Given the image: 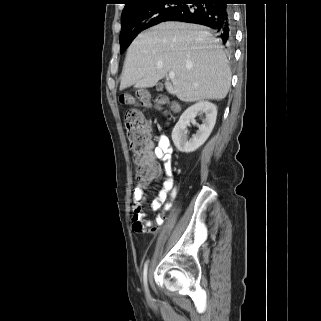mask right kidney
I'll return each instance as SVG.
<instances>
[{"instance_id": "1", "label": "right kidney", "mask_w": 321, "mask_h": 321, "mask_svg": "<svg viewBox=\"0 0 321 321\" xmlns=\"http://www.w3.org/2000/svg\"><path fill=\"white\" fill-rule=\"evenodd\" d=\"M198 113H204L205 119L198 126L199 129L196 134L191 139H188L187 126ZM216 117L217 107L209 101H199L186 109L172 131V140L176 148L184 153H191L197 150L210 136L216 123Z\"/></svg>"}]
</instances>
